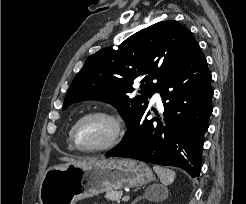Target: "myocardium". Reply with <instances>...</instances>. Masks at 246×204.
Wrapping results in <instances>:
<instances>
[{"label": "myocardium", "instance_id": "myocardium-1", "mask_svg": "<svg viewBox=\"0 0 246 204\" xmlns=\"http://www.w3.org/2000/svg\"><path fill=\"white\" fill-rule=\"evenodd\" d=\"M93 117H100L109 121L113 127L112 134L105 143L99 146L91 147V148L81 147L76 140L77 129L83 121ZM123 134H124V126L121 119L117 115L105 110H94L83 114L81 117H79L76 120L70 131V140L72 146L81 152L98 153V152L108 151L116 147L120 143Z\"/></svg>", "mask_w": 246, "mask_h": 204}]
</instances>
